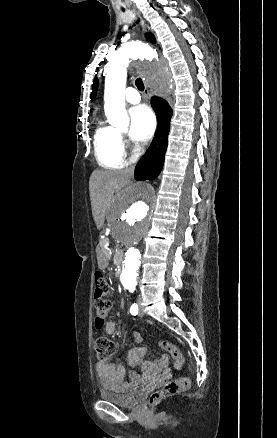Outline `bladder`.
<instances>
[{
    "instance_id": "31cf9c89",
    "label": "bladder",
    "mask_w": 277,
    "mask_h": 438,
    "mask_svg": "<svg viewBox=\"0 0 277 438\" xmlns=\"http://www.w3.org/2000/svg\"><path fill=\"white\" fill-rule=\"evenodd\" d=\"M98 395L104 402H110L122 408H135L139 405L142 391L141 389H135L127 393H119L108 388H101L98 391Z\"/></svg>"
}]
</instances>
